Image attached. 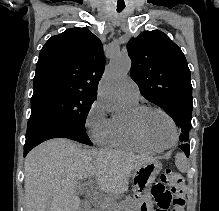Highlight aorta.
Returning a JSON list of instances; mask_svg holds the SVG:
<instances>
[{
  "instance_id": "aorta-1",
  "label": "aorta",
  "mask_w": 219,
  "mask_h": 211,
  "mask_svg": "<svg viewBox=\"0 0 219 211\" xmlns=\"http://www.w3.org/2000/svg\"><path fill=\"white\" fill-rule=\"evenodd\" d=\"M131 67L128 56L120 55L113 58L107 66L98 91L99 99L107 111L118 114L121 111L119 102V86L127 76Z\"/></svg>"
}]
</instances>
